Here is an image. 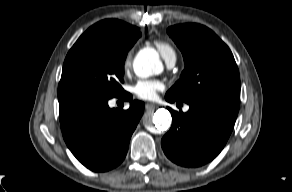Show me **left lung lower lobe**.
I'll use <instances>...</instances> for the list:
<instances>
[{"mask_svg":"<svg viewBox=\"0 0 292 192\" xmlns=\"http://www.w3.org/2000/svg\"><path fill=\"white\" fill-rule=\"evenodd\" d=\"M166 100L178 102L167 96ZM187 104L190 109L186 113L168 107L173 123L161 145L172 162L192 168L210 162L224 148L236 121L239 102L199 100Z\"/></svg>","mask_w":292,"mask_h":192,"instance_id":"obj_1","label":"left lung lower lobe"}]
</instances>
